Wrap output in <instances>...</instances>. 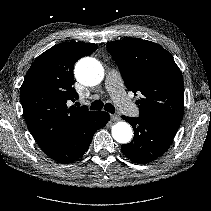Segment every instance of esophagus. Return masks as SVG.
<instances>
[{
  "instance_id": "34e87169",
  "label": "esophagus",
  "mask_w": 211,
  "mask_h": 211,
  "mask_svg": "<svg viewBox=\"0 0 211 211\" xmlns=\"http://www.w3.org/2000/svg\"><path fill=\"white\" fill-rule=\"evenodd\" d=\"M111 120H113V121H119L120 120V116L117 115V114H112L111 115Z\"/></svg>"
}]
</instances>
